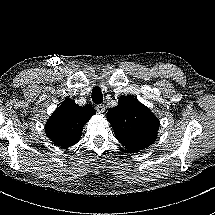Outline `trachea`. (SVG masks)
Segmentation results:
<instances>
[{
  "label": "trachea",
  "instance_id": "obj_1",
  "mask_svg": "<svg viewBox=\"0 0 215 215\" xmlns=\"http://www.w3.org/2000/svg\"><path fill=\"white\" fill-rule=\"evenodd\" d=\"M92 100L96 104H101L103 102L102 90L100 87H94L92 90Z\"/></svg>",
  "mask_w": 215,
  "mask_h": 215
}]
</instances>
